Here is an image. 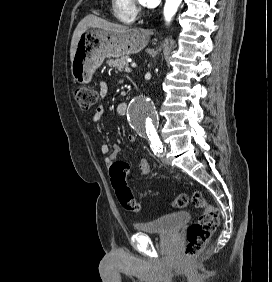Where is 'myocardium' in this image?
Returning <instances> with one entry per match:
<instances>
[{"label": "myocardium", "mask_w": 272, "mask_h": 282, "mask_svg": "<svg viewBox=\"0 0 272 282\" xmlns=\"http://www.w3.org/2000/svg\"><path fill=\"white\" fill-rule=\"evenodd\" d=\"M130 8L137 13L138 11L141 10L140 5H139V1L138 0H131L130 3Z\"/></svg>", "instance_id": "myocardium-1"}]
</instances>
